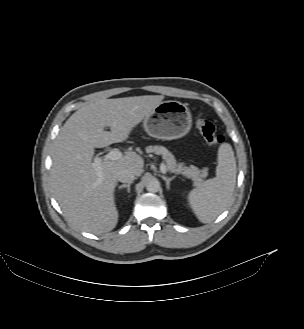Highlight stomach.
I'll list each match as a JSON object with an SVG mask.
<instances>
[{"mask_svg": "<svg viewBox=\"0 0 304 329\" xmlns=\"http://www.w3.org/2000/svg\"><path fill=\"white\" fill-rule=\"evenodd\" d=\"M191 125L192 117L188 107L178 101L161 102L143 122L148 135L162 140L185 136Z\"/></svg>", "mask_w": 304, "mask_h": 329, "instance_id": "obj_1", "label": "stomach"}]
</instances>
